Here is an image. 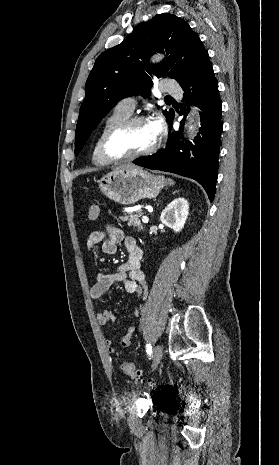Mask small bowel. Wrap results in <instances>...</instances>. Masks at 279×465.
<instances>
[{
  "label": "small bowel",
  "instance_id": "small-bowel-1",
  "mask_svg": "<svg viewBox=\"0 0 279 465\" xmlns=\"http://www.w3.org/2000/svg\"><path fill=\"white\" fill-rule=\"evenodd\" d=\"M121 242L125 244L128 251V259L117 266L114 272L97 275L96 281L90 289V296L93 299L101 298L116 282H121L128 293H138L146 287L145 275L141 270L142 249L134 238L126 236L118 227L107 224L102 230L91 232L88 235L86 246L88 249H94L97 244L101 243L102 251L107 255H113L117 252V246ZM114 320L115 315L111 309H105L97 314V321L101 326ZM134 332V326L127 328L120 340L122 347L131 346ZM104 343L110 354L115 353L116 350L110 339H105Z\"/></svg>",
  "mask_w": 279,
  "mask_h": 465
}]
</instances>
